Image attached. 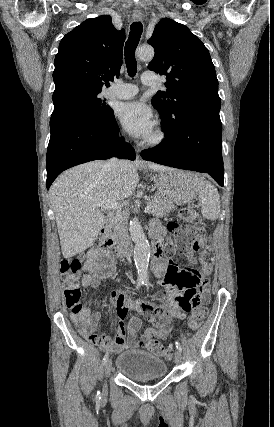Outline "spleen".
<instances>
[{
    "label": "spleen",
    "mask_w": 274,
    "mask_h": 427,
    "mask_svg": "<svg viewBox=\"0 0 274 427\" xmlns=\"http://www.w3.org/2000/svg\"><path fill=\"white\" fill-rule=\"evenodd\" d=\"M195 194H199L201 214L206 219H217L220 214V196L212 184H204L203 180L197 182Z\"/></svg>",
    "instance_id": "3e777b00"
}]
</instances>
